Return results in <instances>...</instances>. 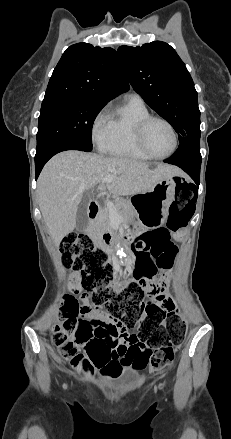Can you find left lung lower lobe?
<instances>
[{
    "label": "left lung lower lobe",
    "instance_id": "obj_1",
    "mask_svg": "<svg viewBox=\"0 0 231 439\" xmlns=\"http://www.w3.org/2000/svg\"><path fill=\"white\" fill-rule=\"evenodd\" d=\"M201 160L200 134H194L184 137L174 155L164 162L183 169L199 186Z\"/></svg>",
    "mask_w": 231,
    "mask_h": 439
}]
</instances>
